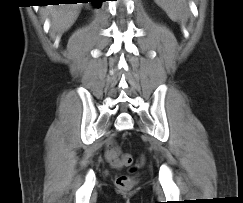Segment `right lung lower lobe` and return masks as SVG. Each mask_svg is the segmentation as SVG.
Wrapping results in <instances>:
<instances>
[{
  "instance_id": "1",
  "label": "right lung lower lobe",
  "mask_w": 243,
  "mask_h": 203,
  "mask_svg": "<svg viewBox=\"0 0 243 203\" xmlns=\"http://www.w3.org/2000/svg\"><path fill=\"white\" fill-rule=\"evenodd\" d=\"M103 1H105V0H58L59 3H70V4L78 3V2H82V3L92 2L96 7H100V5ZM39 5H41V4H39Z\"/></svg>"
}]
</instances>
